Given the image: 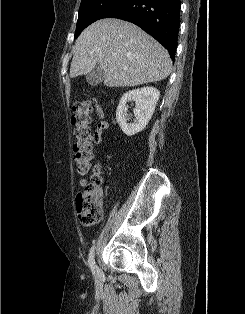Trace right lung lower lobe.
Instances as JSON below:
<instances>
[{
    "instance_id": "right-lung-lower-lobe-1",
    "label": "right lung lower lobe",
    "mask_w": 245,
    "mask_h": 314,
    "mask_svg": "<svg viewBox=\"0 0 245 314\" xmlns=\"http://www.w3.org/2000/svg\"><path fill=\"white\" fill-rule=\"evenodd\" d=\"M103 18L132 22L153 36L175 57L180 25V0H128Z\"/></svg>"
}]
</instances>
